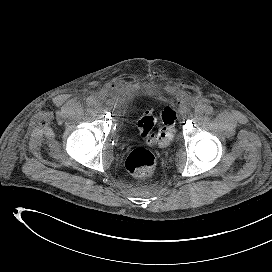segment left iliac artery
Returning a JSON list of instances; mask_svg holds the SVG:
<instances>
[{"label":"left iliac artery","instance_id":"left-iliac-artery-1","mask_svg":"<svg viewBox=\"0 0 272 272\" xmlns=\"http://www.w3.org/2000/svg\"><path fill=\"white\" fill-rule=\"evenodd\" d=\"M213 112H214V109H213L212 106H207V107L205 108V113H206L207 115H211Z\"/></svg>","mask_w":272,"mask_h":272}]
</instances>
